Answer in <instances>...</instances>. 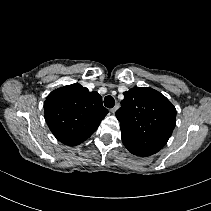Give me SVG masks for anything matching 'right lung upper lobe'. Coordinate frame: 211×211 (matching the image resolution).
Instances as JSON below:
<instances>
[{
    "mask_svg": "<svg viewBox=\"0 0 211 211\" xmlns=\"http://www.w3.org/2000/svg\"><path fill=\"white\" fill-rule=\"evenodd\" d=\"M44 113L53 135L61 143L75 146L96 131L108 110L96 91L74 83L52 91L44 102Z\"/></svg>",
    "mask_w": 211,
    "mask_h": 211,
    "instance_id": "obj_1",
    "label": "right lung upper lobe"
}]
</instances>
